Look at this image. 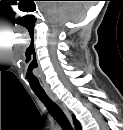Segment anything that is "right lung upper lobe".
<instances>
[{
  "label": "right lung upper lobe",
  "instance_id": "right-lung-upper-lobe-1",
  "mask_svg": "<svg viewBox=\"0 0 123 130\" xmlns=\"http://www.w3.org/2000/svg\"><path fill=\"white\" fill-rule=\"evenodd\" d=\"M73 119H74L76 128L80 130L81 129L80 123L76 120L74 115H73Z\"/></svg>",
  "mask_w": 123,
  "mask_h": 130
}]
</instances>
